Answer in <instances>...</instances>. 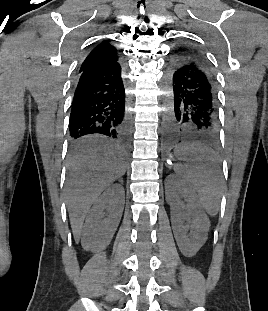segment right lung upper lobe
Segmentation results:
<instances>
[{
    "label": "right lung upper lobe",
    "instance_id": "obj_1",
    "mask_svg": "<svg viewBox=\"0 0 268 311\" xmlns=\"http://www.w3.org/2000/svg\"><path fill=\"white\" fill-rule=\"evenodd\" d=\"M117 48L110 42L104 40L97 45L83 61L80 70H88L98 67H109L119 63Z\"/></svg>",
    "mask_w": 268,
    "mask_h": 311
}]
</instances>
